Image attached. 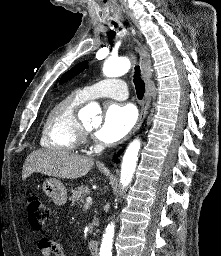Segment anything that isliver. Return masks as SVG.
Instances as JSON below:
<instances>
[{"mask_svg":"<svg viewBox=\"0 0 221 256\" xmlns=\"http://www.w3.org/2000/svg\"><path fill=\"white\" fill-rule=\"evenodd\" d=\"M94 160L63 150H37L27 157L22 170V179L26 180L33 173L63 179H76L85 176Z\"/></svg>","mask_w":221,"mask_h":256,"instance_id":"6515ba94","label":"liver"}]
</instances>
